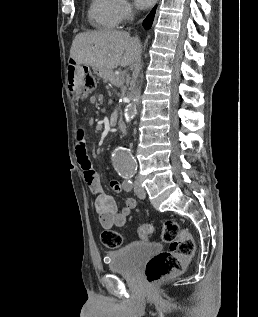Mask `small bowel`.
<instances>
[{
    "label": "small bowel",
    "mask_w": 258,
    "mask_h": 317,
    "mask_svg": "<svg viewBox=\"0 0 258 317\" xmlns=\"http://www.w3.org/2000/svg\"><path fill=\"white\" fill-rule=\"evenodd\" d=\"M75 152L84 180L94 197V206L101 226L106 230L124 226L131 211L136 207V201L133 198H127L124 206L119 210L115 199L104 191L100 177L87 152L85 130L80 126L75 131ZM110 187L114 192L122 190L118 180H112Z\"/></svg>",
    "instance_id": "small-bowel-1"
}]
</instances>
